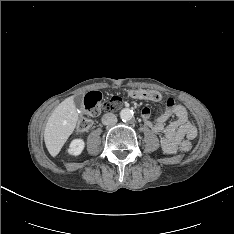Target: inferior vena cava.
<instances>
[{
	"mask_svg": "<svg viewBox=\"0 0 234 234\" xmlns=\"http://www.w3.org/2000/svg\"><path fill=\"white\" fill-rule=\"evenodd\" d=\"M117 121V117L113 113H106L102 117V123L104 125H111L114 124Z\"/></svg>",
	"mask_w": 234,
	"mask_h": 234,
	"instance_id": "inferior-vena-cava-1",
	"label": "inferior vena cava"
}]
</instances>
